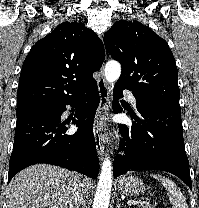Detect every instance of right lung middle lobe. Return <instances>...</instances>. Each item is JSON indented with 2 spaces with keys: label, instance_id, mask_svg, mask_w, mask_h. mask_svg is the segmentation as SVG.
<instances>
[{
  "label": "right lung middle lobe",
  "instance_id": "dd1d6c3e",
  "mask_svg": "<svg viewBox=\"0 0 199 208\" xmlns=\"http://www.w3.org/2000/svg\"><path fill=\"white\" fill-rule=\"evenodd\" d=\"M45 108H46V106L25 107V108L17 109L16 110V115L19 116L20 114L30 113V112H34V111H39V110H42V109H45Z\"/></svg>",
  "mask_w": 199,
  "mask_h": 208
}]
</instances>
